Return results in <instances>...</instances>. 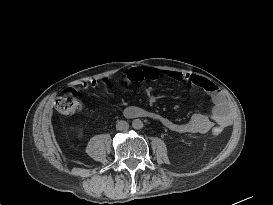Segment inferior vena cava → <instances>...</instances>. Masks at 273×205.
I'll return each instance as SVG.
<instances>
[{
  "label": "inferior vena cava",
  "mask_w": 273,
  "mask_h": 205,
  "mask_svg": "<svg viewBox=\"0 0 273 205\" xmlns=\"http://www.w3.org/2000/svg\"><path fill=\"white\" fill-rule=\"evenodd\" d=\"M129 128V124L126 121H118L116 124V129L119 131H126Z\"/></svg>",
  "instance_id": "obj_1"
}]
</instances>
